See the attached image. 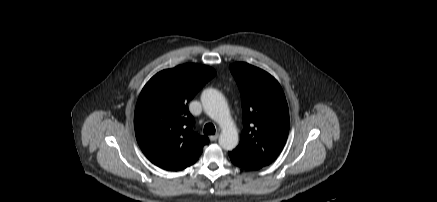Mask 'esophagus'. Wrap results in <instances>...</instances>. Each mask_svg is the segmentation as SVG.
I'll use <instances>...</instances> for the list:
<instances>
[{"mask_svg": "<svg viewBox=\"0 0 437 202\" xmlns=\"http://www.w3.org/2000/svg\"><path fill=\"white\" fill-rule=\"evenodd\" d=\"M219 137V134L211 135L209 138L211 141H216Z\"/></svg>", "mask_w": 437, "mask_h": 202, "instance_id": "34e87169", "label": "esophagus"}]
</instances>
